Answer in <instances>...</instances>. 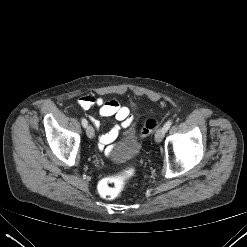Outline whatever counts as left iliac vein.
<instances>
[{
    "instance_id": "4c4485c4",
    "label": "left iliac vein",
    "mask_w": 247,
    "mask_h": 247,
    "mask_svg": "<svg viewBox=\"0 0 247 247\" xmlns=\"http://www.w3.org/2000/svg\"><path fill=\"white\" fill-rule=\"evenodd\" d=\"M164 135H165V130H164V128H163V127H162V128H159V129L157 130L156 134H155V141H156L157 143L161 142L162 139L164 138Z\"/></svg>"
}]
</instances>
